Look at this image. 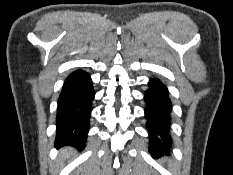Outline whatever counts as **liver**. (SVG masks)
<instances>
[{
    "label": "liver",
    "mask_w": 233,
    "mask_h": 175,
    "mask_svg": "<svg viewBox=\"0 0 233 175\" xmlns=\"http://www.w3.org/2000/svg\"><path fill=\"white\" fill-rule=\"evenodd\" d=\"M62 152H63L64 154H67V149H64Z\"/></svg>",
    "instance_id": "6515ba94"
}]
</instances>
